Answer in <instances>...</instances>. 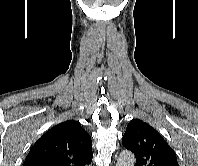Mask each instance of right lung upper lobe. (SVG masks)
<instances>
[{"label":"right lung upper lobe","mask_w":198,"mask_h":166,"mask_svg":"<svg viewBox=\"0 0 198 166\" xmlns=\"http://www.w3.org/2000/svg\"><path fill=\"white\" fill-rule=\"evenodd\" d=\"M92 156L91 136L78 121L68 120L35 142L23 166H85Z\"/></svg>","instance_id":"obj_1"}]
</instances>
